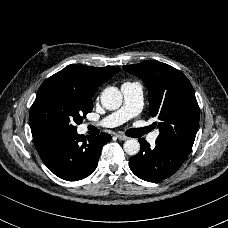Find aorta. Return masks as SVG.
I'll list each match as a JSON object with an SVG mask.
<instances>
[{"label": "aorta", "mask_w": 228, "mask_h": 228, "mask_svg": "<svg viewBox=\"0 0 228 228\" xmlns=\"http://www.w3.org/2000/svg\"><path fill=\"white\" fill-rule=\"evenodd\" d=\"M122 100V94L117 87H107L101 94L102 106L108 110L118 109L122 105ZM123 147L128 155H136L140 150V143L137 139H129Z\"/></svg>", "instance_id": "obj_1"}]
</instances>
